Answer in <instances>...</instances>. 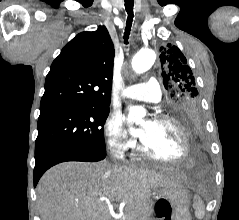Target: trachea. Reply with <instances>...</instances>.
Masks as SVG:
<instances>
[{"instance_id": "obj_1", "label": "trachea", "mask_w": 239, "mask_h": 220, "mask_svg": "<svg viewBox=\"0 0 239 220\" xmlns=\"http://www.w3.org/2000/svg\"><path fill=\"white\" fill-rule=\"evenodd\" d=\"M133 5H134V0H125V8L128 14V18H127V22H126V29H125V33H124V40H125V44L128 43V36L130 33V29H131V25H132V21H133Z\"/></svg>"}]
</instances>
